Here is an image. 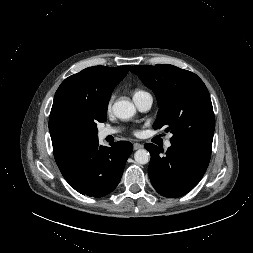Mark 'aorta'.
<instances>
[{"instance_id":"1","label":"aorta","mask_w":253,"mask_h":253,"mask_svg":"<svg viewBox=\"0 0 253 253\" xmlns=\"http://www.w3.org/2000/svg\"><path fill=\"white\" fill-rule=\"evenodd\" d=\"M113 113L119 119H129L136 113L134 104L128 100H120L114 103ZM134 159L138 164H147L150 160V153L146 149H139L134 154Z\"/></svg>"}]
</instances>
